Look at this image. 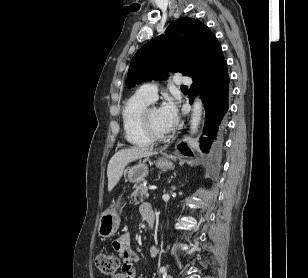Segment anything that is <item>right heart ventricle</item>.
<instances>
[{
  "label": "right heart ventricle",
  "instance_id": "right-heart-ventricle-1",
  "mask_svg": "<svg viewBox=\"0 0 308 278\" xmlns=\"http://www.w3.org/2000/svg\"><path fill=\"white\" fill-rule=\"evenodd\" d=\"M150 104L146 98L135 93L122 108V124L126 140L135 147L146 148L152 140L145 134L140 121L142 111Z\"/></svg>",
  "mask_w": 308,
  "mask_h": 278
}]
</instances>
